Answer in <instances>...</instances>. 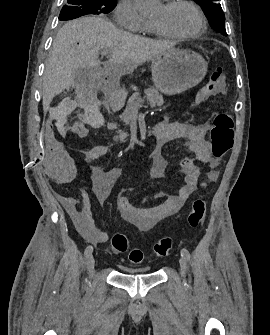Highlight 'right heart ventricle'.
I'll return each instance as SVG.
<instances>
[{"mask_svg":"<svg viewBox=\"0 0 270 335\" xmlns=\"http://www.w3.org/2000/svg\"><path fill=\"white\" fill-rule=\"evenodd\" d=\"M145 32L153 34L155 36H162L152 25L151 22L146 21ZM162 78H169V77H162Z\"/></svg>","mask_w":270,"mask_h":335,"instance_id":"e07e8e85","label":"right heart ventricle"}]
</instances>
